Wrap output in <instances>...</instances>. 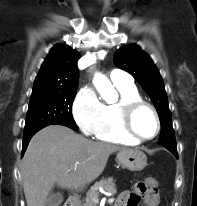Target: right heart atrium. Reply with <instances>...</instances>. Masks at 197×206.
Returning a JSON list of instances; mask_svg holds the SVG:
<instances>
[{
	"label": "right heart atrium",
	"instance_id": "d8ad5b80",
	"mask_svg": "<svg viewBox=\"0 0 197 206\" xmlns=\"http://www.w3.org/2000/svg\"><path fill=\"white\" fill-rule=\"evenodd\" d=\"M102 114V103L95 91L82 87L73 102L72 115L77 126L85 135L94 134Z\"/></svg>",
	"mask_w": 197,
	"mask_h": 206
}]
</instances>
